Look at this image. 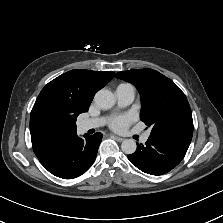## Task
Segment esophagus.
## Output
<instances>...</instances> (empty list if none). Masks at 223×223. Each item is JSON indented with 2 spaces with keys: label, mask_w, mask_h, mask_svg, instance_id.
Instances as JSON below:
<instances>
[{
  "label": "esophagus",
  "mask_w": 223,
  "mask_h": 223,
  "mask_svg": "<svg viewBox=\"0 0 223 223\" xmlns=\"http://www.w3.org/2000/svg\"><path fill=\"white\" fill-rule=\"evenodd\" d=\"M117 142H122L124 138L118 137V136H112Z\"/></svg>",
  "instance_id": "1"
}]
</instances>
